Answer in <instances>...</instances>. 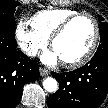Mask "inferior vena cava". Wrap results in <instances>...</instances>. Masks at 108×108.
Listing matches in <instances>:
<instances>
[{"label":"inferior vena cava","instance_id":"obj_1","mask_svg":"<svg viewBox=\"0 0 108 108\" xmlns=\"http://www.w3.org/2000/svg\"><path fill=\"white\" fill-rule=\"evenodd\" d=\"M23 51L28 56H35L37 54L38 50L32 46H25V47H23Z\"/></svg>","mask_w":108,"mask_h":108}]
</instances>
